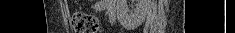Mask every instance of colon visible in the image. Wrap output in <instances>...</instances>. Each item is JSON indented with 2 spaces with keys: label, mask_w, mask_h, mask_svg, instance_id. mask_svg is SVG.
Segmentation results:
<instances>
[{
  "label": "colon",
  "mask_w": 235,
  "mask_h": 33,
  "mask_svg": "<svg viewBox=\"0 0 235 33\" xmlns=\"http://www.w3.org/2000/svg\"><path fill=\"white\" fill-rule=\"evenodd\" d=\"M72 26L75 33H100L101 26L98 19L84 12H76L72 16Z\"/></svg>",
  "instance_id": "5ec220e1"
}]
</instances>
